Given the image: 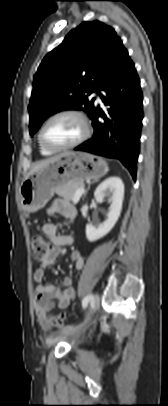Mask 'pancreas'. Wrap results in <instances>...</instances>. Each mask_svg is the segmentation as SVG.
Masks as SVG:
<instances>
[{
	"instance_id": "pancreas-1",
	"label": "pancreas",
	"mask_w": 168,
	"mask_h": 406,
	"mask_svg": "<svg viewBox=\"0 0 168 406\" xmlns=\"http://www.w3.org/2000/svg\"><path fill=\"white\" fill-rule=\"evenodd\" d=\"M84 184L73 183L64 188L56 190V193L63 198L64 201H73L75 193L78 189L83 188Z\"/></svg>"
}]
</instances>
